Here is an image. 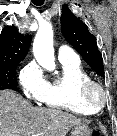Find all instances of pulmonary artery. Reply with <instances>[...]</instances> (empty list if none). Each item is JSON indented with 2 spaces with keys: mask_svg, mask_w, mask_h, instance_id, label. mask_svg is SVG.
<instances>
[{
  "mask_svg": "<svg viewBox=\"0 0 117 136\" xmlns=\"http://www.w3.org/2000/svg\"><path fill=\"white\" fill-rule=\"evenodd\" d=\"M58 59L60 62L64 61H79V57L74 51L67 45H61L58 48Z\"/></svg>",
  "mask_w": 117,
  "mask_h": 136,
  "instance_id": "obj_1",
  "label": "pulmonary artery"
}]
</instances>
